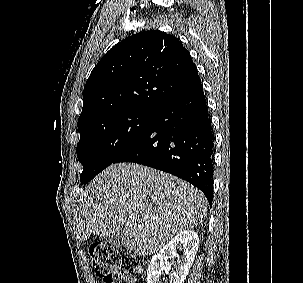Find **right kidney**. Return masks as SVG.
<instances>
[{
    "label": "right kidney",
    "instance_id": "right-kidney-1",
    "mask_svg": "<svg viewBox=\"0 0 303 283\" xmlns=\"http://www.w3.org/2000/svg\"><path fill=\"white\" fill-rule=\"evenodd\" d=\"M198 234L185 230L176 234L159 253L152 257L147 270V283H160L161 272L165 270L169 276V283H183L194 262L198 250ZM177 249L182 250V255H177ZM178 257L177 267L170 272L169 257ZM170 272V273H169Z\"/></svg>",
    "mask_w": 303,
    "mask_h": 283
}]
</instances>
